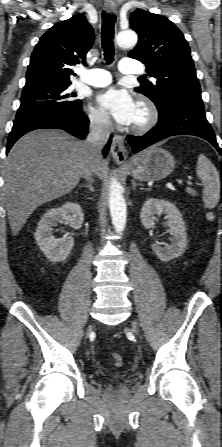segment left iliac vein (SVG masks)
Segmentation results:
<instances>
[{"label":"left iliac vein","instance_id":"obj_1","mask_svg":"<svg viewBox=\"0 0 222 447\" xmlns=\"http://www.w3.org/2000/svg\"><path fill=\"white\" fill-rule=\"evenodd\" d=\"M132 325H133V331H134L135 333H137V325H136V323L133 322Z\"/></svg>","mask_w":222,"mask_h":447}]
</instances>
